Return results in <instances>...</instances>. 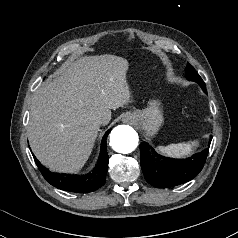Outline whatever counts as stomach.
<instances>
[{"mask_svg": "<svg viewBox=\"0 0 238 238\" xmlns=\"http://www.w3.org/2000/svg\"><path fill=\"white\" fill-rule=\"evenodd\" d=\"M133 122L139 126L147 136L155 135L163 124V114L160 109V102L152 100L149 106L143 110L126 113Z\"/></svg>", "mask_w": 238, "mask_h": 238, "instance_id": "0dacf381", "label": "stomach"}]
</instances>
